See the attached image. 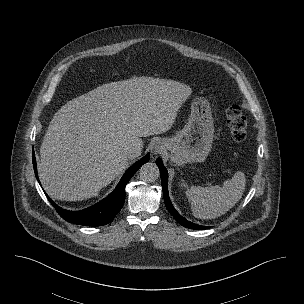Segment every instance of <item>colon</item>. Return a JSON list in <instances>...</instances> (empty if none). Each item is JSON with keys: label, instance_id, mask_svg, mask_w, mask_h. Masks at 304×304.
Instances as JSON below:
<instances>
[{"label": "colon", "instance_id": "1", "mask_svg": "<svg viewBox=\"0 0 304 304\" xmlns=\"http://www.w3.org/2000/svg\"><path fill=\"white\" fill-rule=\"evenodd\" d=\"M228 130L233 141L240 143L247 136V119L236 104L228 105L225 112Z\"/></svg>", "mask_w": 304, "mask_h": 304}]
</instances>
